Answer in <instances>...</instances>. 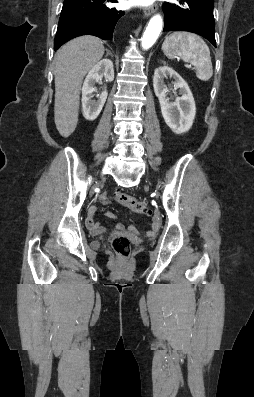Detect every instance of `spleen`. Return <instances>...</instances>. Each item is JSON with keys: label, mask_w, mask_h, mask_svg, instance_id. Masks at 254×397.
I'll return each instance as SVG.
<instances>
[{"label": "spleen", "mask_w": 254, "mask_h": 397, "mask_svg": "<svg viewBox=\"0 0 254 397\" xmlns=\"http://www.w3.org/2000/svg\"><path fill=\"white\" fill-rule=\"evenodd\" d=\"M162 50L170 59L180 57L183 61L193 64L198 79L208 81L212 77L210 50L198 35L175 31L165 38Z\"/></svg>", "instance_id": "1"}]
</instances>
